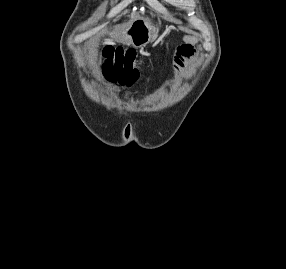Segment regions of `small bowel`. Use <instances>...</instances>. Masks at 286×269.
Segmentation results:
<instances>
[{
	"label": "small bowel",
	"mask_w": 286,
	"mask_h": 269,
	"mask_svg": "<svg viewBox=\"0 0 286 269\" xmlns=\"http://www.w3.org/2000/svg\"><path fill=\"white\" fill-rule=\"evenodd\" d=\"M193 41L189 40L186 44L180 46L173 58L172 69L169 74L171 81L175 84L180 83L184 78L190 75L187 71L189 63L195 58L196 50Z\"/></svg>",
	"instance_id": "small-bowel-1"
}]
</instances>
